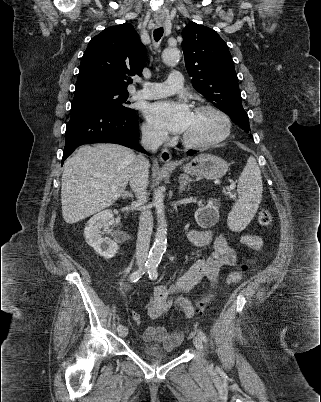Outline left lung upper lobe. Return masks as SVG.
Masks as SVG:
<instances>
[{
	"mask_svg": "<svg viewBox=\"0 0 321 402\" xmlns=\"http://www.w3.org/2000/svg\"><path fill=\"white\" fill-rule=\"evenodd\" d=\"M185 66L193 87L226 112L241 129L250 132L242 106L238 78L227 44L216 31L190 22L182 31Z\"/></svg>",
	"mask_w": 321,
	"mask_h": 402,
	"instance_id": "obj_1",
	"label": "left lung upper lobe"
}]
</instances>
